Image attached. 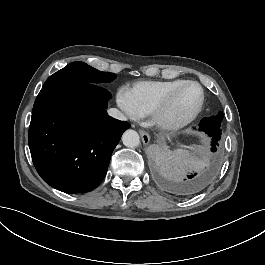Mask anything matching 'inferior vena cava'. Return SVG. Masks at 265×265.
<instances>
[{
	"label": "inferior vena cava",
	"instance_id": "obj_1",
	"mask_svg": "<svg viewBox=\"0 0 265 265\" xmlns=\"http://www.w3.org/2000/svg\"><path fill=\"white\" fill-rule=\"evenodd\" d=\"M108 114L111 117L116 118L118 120H122V121L127 120V118L124 116V114L121 111H119L118 109H116V108H110L108 110Z\"/></svg>",
	"mask_w": 265,
	"mask_h": 265
}]
</instances>
